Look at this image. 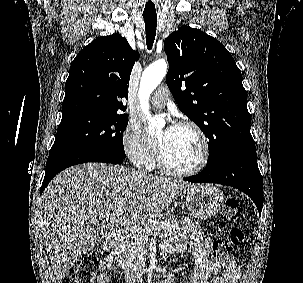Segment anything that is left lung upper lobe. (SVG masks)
Returning <instances> with one entry per match:
<instances>
[{
  "mask_svg": "<svg viewBox=\"0 0 303 283\" xmlns=\"http://www.w3.org/2000/svg\"><path fill=\"white\" fill-rule=\"evenodd\" d=\"M166 83L179 109L209 139L206 166L232 152L255 147L241 71L214 37L181 26L164 42Z\"/></svg>",
  "mask_w": 303,
  "mask_h": 283,
  "instance_id": "obj_1",
  "label": "left lung upper lobe"
}]
</instances>
